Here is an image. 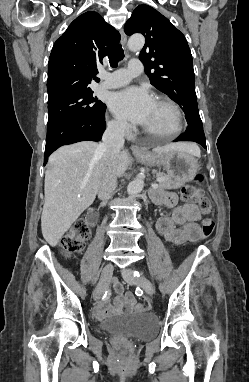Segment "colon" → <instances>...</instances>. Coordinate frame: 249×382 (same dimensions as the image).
I'll list each match as a JSON object with an SVG mask.
<instances>
[{
  "label": "colon",
  "mask_w": 249,
  "mask_h": 382,
  "mask_svg": "<svg viewBox=\"0 0 249 382\" xmlns=\"http://www.w3.org/2000/svg\"><path fill=\"white\" fill-rule=\"evenodd\" d=\"M196 179L202 181V175H197ZM181 198L185 204L198 205L204 214L211 211L210 200L202 194V191L193 185L184 186L181 190ZM214 230V221L212 218L206 216L201 222V238H208ZM90 228L85 220L76 222L70 232L62 237L60 240V247L66 256H72L83 250L85 241L89 238ZM135 308L138 311H143L145 306L143 304H136Z\"/></svg>",
  "instance_id": "5ec220e1"
}]
</instances>
